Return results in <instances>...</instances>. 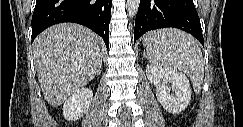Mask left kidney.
<instances>
[{
  "mask_svg": "<svg viewBox=\"0 0 243 127\" xmlns=\"http://www.w3.org/2000/svg\"><path fill=\"white\" fill-rule=\"evenodd\" d=\"M146 75L155 85L157 99L166 111L179 114L188 106L191 100V87L185 74L148 65Z\"/></svg>",
  "mask_w": 243,
  "mask_h": 127,
  "instance_id": "1",
  "label": "left kidney"
}]
</instances>
